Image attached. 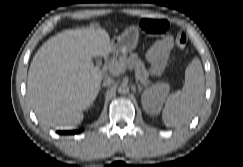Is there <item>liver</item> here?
Wrapping results in <instances>:
<instances>
[{
  "mask_svg": "<svg viewBox=\"0 0 243 167\" xmlns=\"http://www.w3.org/2000/svg\"><path fill=\"white\" fill-rule=\"evenodd\" d=\"M110 51L109 34L101 28L69 30L44 43L28 73V92L38 119L56 129L80 124L102 81L92 58Z\"/></svg>",
  "mask_w": 243,
  "mask_h": 167,
  "instance_id": "6515ba94",
  "label": "liver"
}]
</instances>
